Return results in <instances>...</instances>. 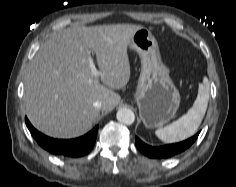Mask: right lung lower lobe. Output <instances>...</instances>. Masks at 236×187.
<instances>
[{
  "mask_svg": "<svg viewBox=\"0 0 236 187\" xmlns=\"http://www.w3.org/2000/svg\"><path fill=\"white\" fill-rule=\"evenodd\" d=\"M26 125L33 138L43 149L54 155L72 158L82 157L87 155L92 150L98 131V126H96L82 137L62 140L53 139L40 133L31 125L28 119H26Z\"/></svg>",
  "mask_w": 236,
  "mask_h": 187,
  "instance_id": "obj_1",
  "label": "right lung lower lobe"
}]
</instances>
